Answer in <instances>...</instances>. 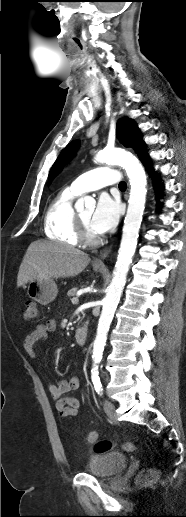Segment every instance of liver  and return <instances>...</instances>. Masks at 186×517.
<instances>
[{
	"mask_svg": "<svg viewBox=\"0 0 186 517\" xmlns=\"http://www.w3.org/2000/svg\"><path fill=\"white\" fill-rule=\"evenodd\" d=\"M88 254L72 246L35 241L30 244L19 267L17 286L35 280L77 276L89 264Z\"/></svg>",
	"mask_w": 186,
	"mask_h": 517,
	"instance_id": "obj_1",
	"label": "liver"
}]
</instances>
